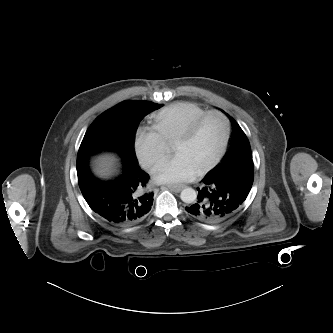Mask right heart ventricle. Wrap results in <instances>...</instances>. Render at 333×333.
Instances as JSON below:
<instances>
[{"label":"right heart ventricle","mask_w":333,"mask_h":333,"mask_svg":"<svg viewBox=\"0 0 333 333\" xmlns=\"http://www.w3.org/2000/svg\"><path fill=\"white\" fill-rule=\"evenodd\" d=\"M206 110L191 102L171 104L153 116V129L170 143L197 117Z\"/></svg>","instance_id":"right-heart-ventricle-1"}]
</instances>
